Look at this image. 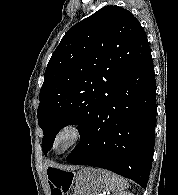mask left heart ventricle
<instances>
[{
    "instance_id": "1",
    "label": "left heart ventricle",
    "mask_w": 178,
    "mask_h": 195,
    "mask_svg": "<svg viewBox=\"0 0 178 195\" xmlns=\"http://www.w3.org/2000/svg\"><path fill=\"white\" fill-rule=\"evenodd\" d=\"M69 137L68 136H62L59 141H58V144H57V149L58 150H62L64 149L68 143H69Z\"/></svg>"
}]
</instances>
